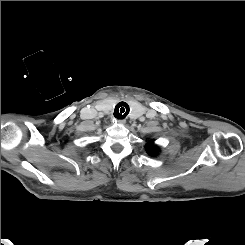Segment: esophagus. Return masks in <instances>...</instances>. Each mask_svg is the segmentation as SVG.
<instances>
[{
	"label": "esophagus",
	"mask_w": 245,
	"mask_h": 245,
	"mask_svg": "<svg viewBox=\"0 0 245 245\" xmlns=\"http://www.w3.org/2000/svg\"><path fill=\"white\" fill-rule=\"evenodd\" d=\"M118 123H120V124H124L125 123V120H122V119H117L116 120Z\"/></svg>",
	"instance_id": "1"
}]
</instances>
